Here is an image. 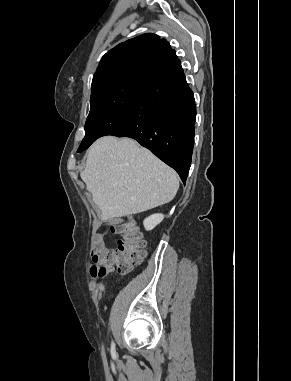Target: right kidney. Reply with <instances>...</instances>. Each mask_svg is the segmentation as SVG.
Segmentation results:
<instances>
[{
	"mask_svg": "<svg viewBox=\"0 0 291 381\" xmlns=\"http://www.w3.org/2000/svg\"><path fill=\"white\" fill-rule=\"evenodd\" d=\"M163 219H164L163 214H153V215L149 216L148 218H146L144 220L143 224H144L145 229L147 231H150V230L154 229L158 224H160Z\"/></svg>",
	"mask_w": 291,
	"mask_h": 381,
	"instance_id": "right-kidney-1",
	"label": "right kidney"
}]
</instances>
